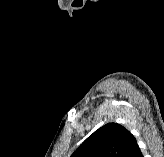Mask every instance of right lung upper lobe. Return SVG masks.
I'll use <instances>...</instances> for the list:
<instances>
[{
	"instance_id": "right-lung-upper-lobe-1",
	"label": "right lung upper lobe",
	"mask_w": 164,
	"mask_h": 157,
	"mask_svg": "<svg viewBox=\"0 0 164 157\" xmlns=\"http://www.w3.org/2000/svg\"><path fill=\"white\" fill-rule=\"evenodd\" d=\"M136 144L127 129L108 123L91 134L70 157H127Z\"/></svg>"
}]
</instances>
